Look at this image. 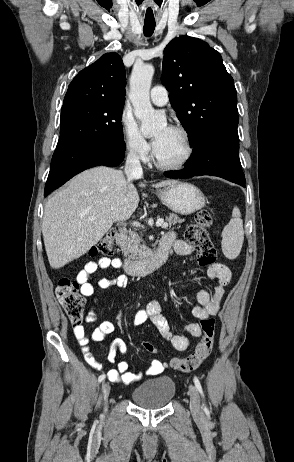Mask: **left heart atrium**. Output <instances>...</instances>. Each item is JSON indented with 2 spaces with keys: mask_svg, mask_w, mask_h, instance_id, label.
I'll use <instances>...</instances> for the list:
<instances>
[{
  "mask_svg": "<svg viewBox=\"0 0 294 462\" xmlns=\"http://www.w3.org/2000/svg\"><path fill=\"white\" fill-rule=\"evenodd\" d=\"M153 144H154V147L156 148L159 144V138H154Z\"/></svg>",
  "mask_w": 294,
  "mask_h": 462,
  "instance_id": "1",
  "label": "left heart atrium"
}]
</instances>
